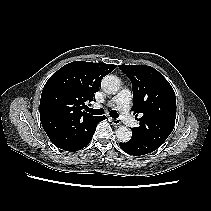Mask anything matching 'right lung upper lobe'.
<instances>
[{
	"label": "right lung upper lobe",
	"mask_w": 211,
	"mask_h": 211,
	"mask_svg": "<svg viewBox=\"0 0 211 211\" xmlns=\"http://www.w3.org/2000/svg\"><path fill=\"white\" fill-rule=\"evenodd\" d=\"M116 65L75 61L66 64L46 82L40 100V120L51 142L67 147L97 116L83 111L93 100L100 81Z\"/></svg>",
	"instance_id": "1"
}]
</instances>
